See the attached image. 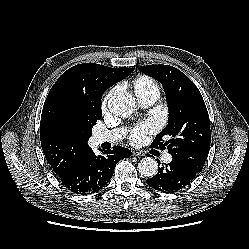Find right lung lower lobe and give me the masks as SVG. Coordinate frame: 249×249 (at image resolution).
Listing matches in <instances>:
<instances>
[{
	"mask_svg": "<svg viewBox=\"0 0 249 249\" xmlns=\"http://www.w3.org/2000/svg\"><path fill=\"white\" fill-rule=\"evenodd\" d=\"M96 156L89 149L76 163L60 176L62 184L76 194H91L101 190L111 179L117 162L131 156V151L121 146L102 151Z\"/></svg>",
	"mask_w": 249,
	"mask_h": 249,
	"instance_id": "right-lung-lower-lobe-1",
	"label": "right lung lower lobe"
}]
</instances>
